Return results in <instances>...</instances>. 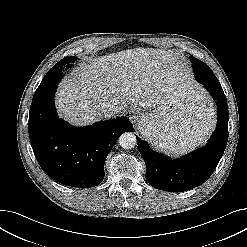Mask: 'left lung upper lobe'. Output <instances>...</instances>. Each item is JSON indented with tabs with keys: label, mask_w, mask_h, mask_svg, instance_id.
<instances>
[{
	"label": "left lung upper lobe",
	"mask_w": 247,
	"mask_h": 247,
	"mask_svg": "<svg viewBox=\"0 0 247 247\" xmlns=\"http://www.w3.org/2000/svg\"><path fill=\"white\" fill-rule=\"evenodd\" d=\"M190 59H191L192 64L199 61L197 58H194L193 56H190Z\"/></svg>",
	"instance_id": "left-lung-upper-lobe-1"
}]
</instances>
